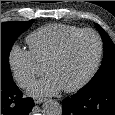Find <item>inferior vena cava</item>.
Here are the masks:
<instances>
[{"instance_id": "inferior-vena-cava-1", "label": "inferior vena cava", "mask_w": 115, "mask_h": 115, "mask_svg": "<svg viewBox=\"0 0 115 115\" xmlns=\"http://www.w3.org/2000/svg\"><path fill=\"white\" fill-rule=\"evenodd\" d=\"M24 85V83H21V86H23Z\"/></svg>"}]
</instances>
